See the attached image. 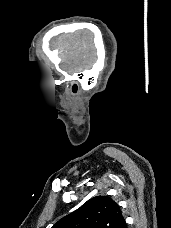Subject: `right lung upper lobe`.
<instances>
[{
	"mask_svg": "<svg viewBox=\"0 0 171 228\" xmlns=\"http://www.w3.org/2000/svg\"><path fill=\"white\" fill-rule=\"evenodd\" d=\"M52 228H127L116 202L96 196L55 223Z\"/></svg>",
	"mask_w": 171,
	"mask_h": 228,
	"instance_id": "obj_1",
	"label": "right lung upper lobe"
}]
</instances>
